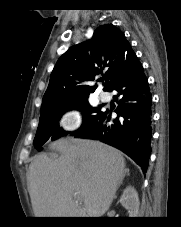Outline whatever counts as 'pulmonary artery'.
<instances>
[{
	"label": "pulmonary artery",
	"instance_id": "e3ab8cb5",
	"mask_svg": "<svg viewBox=\"0 0 181 227\" xmlns=\"http://www.w3.org/2000/svg\"><path fill=\"white\" fill-rule=\"evenodd\" d=\"M99 98L102 102H108L110 100V95L107 92H101Z\"/></svg>",
	"mask_w": 181,
	"mask_h": 227
}]
</instances>
